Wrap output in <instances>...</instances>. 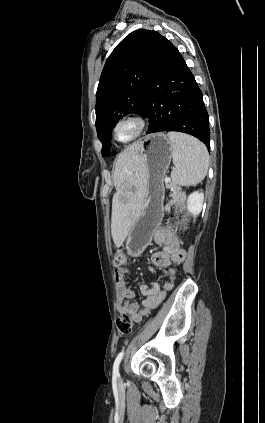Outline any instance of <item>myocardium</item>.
Segmentation results:
<instances>
[{
  "instance_id": "f54148a6",
  "label": "myocardium",
  "mask_w": 265,
  "mask_h": 423,
  "mask_svg": "<svg viewBox=\"0 0 265 423\" xmlns=\"http://www.w3.org/2000/svg\"><path fill=\"white\" fill-rule=\"evenodd\" d=\"M125 125H131L133 127V133L127 139H121L119 137V129ZM147 128V121L139 114L131 113L119 118L112 127V134L114 139L121 144H128L143 135Z\"/></svg>"
}]
</instances>
